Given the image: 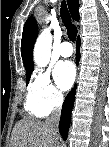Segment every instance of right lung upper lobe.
Instances as JSON below:
<instances>
[{
	"instance_id": "cb5924a9",
	"label": "right lung upper lobe",
	"mask_w": 109,
	"mask_h": 147,
	"mask_svg": "<svg viewBox=\"0 0 109 147\" xmlns=\"http://www.w3.org/2000/svg\"><path fill=\"white\" fill-rule=\"evenodd\" d=\"M69 10L71 12L72 18L76 21L79 20L78 0H68ZM38 35L37 22L33 17H29L25 23L23 36L21 41V54L23 63L26 69V73L33 71V47Z\"/></svg>"
}]
</instances>
